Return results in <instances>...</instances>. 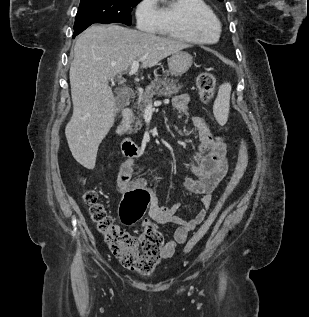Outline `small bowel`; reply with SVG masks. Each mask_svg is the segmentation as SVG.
<instances>
[{
  "instance_id": "obj_1",
  "label": "small bowel",
  "mask_w": 309,
  "mask_h": 317,
  "mask_svg": "<svg viewBox=\"0 0 309 317\" xmlns=\"http://www.w3.org/2000/svg\"><path fill=\"white\" fill-rule=\"evenodd\" d=\"M189 96L180 94L173 99V106L179 113L188 109ZM193 124L198 131L200 145L190 159L191 176L185 180V188L200 196L201 209L192 219H183L178 215L181 205L176 203L163 207L157 196L149 189L144 178H133L135 165L134 157H128L120 167L117 184L122 193L133 190H145L149 193L148 214L151 220L160 223H171L177 226L173 238L161 250V257L169 259L173 256L178 245H183L188 239L190 231L203 223L207 211L213 203V193L219 187L228 173L227 153L232 145L218 134H214L204 118L193 117Z\"/></svg>"
}]
</instances>
